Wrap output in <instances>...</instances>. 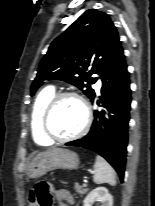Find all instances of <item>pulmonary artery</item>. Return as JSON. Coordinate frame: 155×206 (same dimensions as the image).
<instances>
[{"label":"pulmonary artery","instance_id":"1","mask_svg":"<svg viewBox=\"0 0 155 206\" xmlns=\"http://www.w3.org/2000/svg\"><path fill=\"white\" fill-rule=\"evenodd\" d=\"M101 86H102V82H101V80L99 79V80L97 81V83H96V88H97V89H100Z\"/></svg>","mask_w":155,"mask_h":206}]
</instances>
